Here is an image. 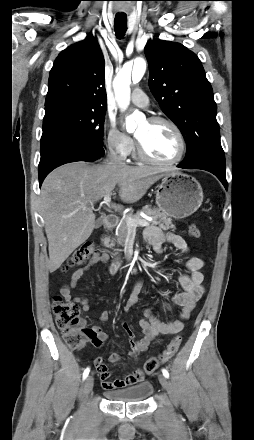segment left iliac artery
I'll return each mask as SVG.
<instances>
[{"instance_id":"44dca946","label":"left iliac artery","mask_w":254,"mask_h":440,"mask_svg":"<svg viewBox=\"0 0 254 440\" xmlns=\"http://www.w3.org/2000/svg\"><path fill=\"white\" fill-rule=\"evenodd\" d=\"M162 373L166 378H169V373L166 369H162Z\"/></svg>"}]
</instances>
